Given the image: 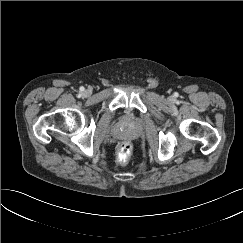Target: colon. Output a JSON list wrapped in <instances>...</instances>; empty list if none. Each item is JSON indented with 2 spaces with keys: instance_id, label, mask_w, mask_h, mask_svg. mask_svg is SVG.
<instances>
[{
  "instance_id": "colon-1",
  "label": "colon",
  "mask_w": 243,
  "mask_h": 243,
  "mask_svg": "<svg viewBox=\"0 0 243 243\" xmlns=\"http://www.w3.org/2000/svg\"><path fill=\"white\" fill-rule=\"evenodd\" d=\"M132 152V144L129 141H123L118 145L117 158L122 164L126 163Z\"/></svg>"
}]
</instances>
